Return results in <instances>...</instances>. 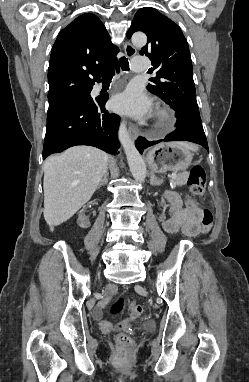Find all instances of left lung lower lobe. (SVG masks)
I'll use <instances>...</instances> for the list:
<instances>
[{"instance_id":"0a47b994","label":"left lung lower lobe","mask_w":249,"mask_h":382,"mask_svg":"<svg viewBox=\"0 0 249 382\" xmlns=\"http://www.w3.org/2000/svg\"><path fill=\"white\" fill-rule=\"evenodd\" d=\"M177 119L176 130L162 140L150 142L143 137H139L135 143L139 152L142 153L144 148L157 144L161 141H190L197 143L208 150V144L200 115L185 113L177 115Z\"/></svg>"}]
</instances>
